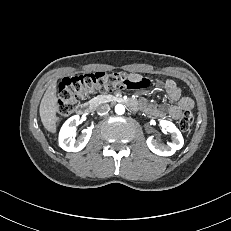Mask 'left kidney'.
<instances>
[{"label":"left kidney","mask_w":231,"mask_h":231,"mask_svg":"<svg viewBox=\"0 0 231 231\" xmlns=\"http://www.w3.org/2000/svg\"><path fill=\"white\" fill-rule=\"evenodd\" d=\"M160 126L171 134L172 142L167 143V146H165L158 143L153 136H150L146 141L147 146L153 153L159 156H171L183 147L184 139L179 129L172 122L161 120Z\"/></svg>","instance_id":"1"}]
</instances>
